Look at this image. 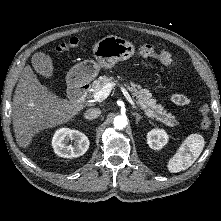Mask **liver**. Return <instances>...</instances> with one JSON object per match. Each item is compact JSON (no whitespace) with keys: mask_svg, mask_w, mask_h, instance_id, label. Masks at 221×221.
Here are the masks:
<instances>
[{"mask_svg":"<svg viewBox=\"0 0 221 221\" xmlns=\"http://www.w3.org/2000/svg\"><path fill=\"white\" fill-rule=\"evenodd\" d=\"M52 59L42 53L32 57L37 73L46 75ZM83 109V105L61 99L42 85L30 66H26L18 81L12 104V118L16 141L27 148L32 138L45 129L70 121Z\"/></svg>","mask_w":221,"mask_h":221,"instance_id":"liver-1","label":"liver"}]
</instances>
